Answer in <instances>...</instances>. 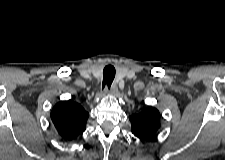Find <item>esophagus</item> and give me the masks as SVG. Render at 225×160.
Returning <instances> with one entry per match:
<instances>
[{
    "instance_id": "obj_1",
    "label": "esophagus",
    "mask_w": 225,
    "mask_h": 160,
    "mask_svg": "<svg viewBox=\"0 0 225 160\" xmlns=\"http://www.w3.org/2000/svg\"><path fill=\"white\" fill-rule=\"evenodd\" d=\"M117 92H118V87L115 83L111 85L110 89H108V87H105L104 89V94H107V93L116 94Z\"/></svg>"
}]
</instances>
